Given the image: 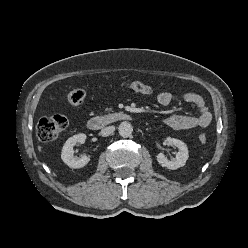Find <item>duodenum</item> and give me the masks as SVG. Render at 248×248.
<instances>
[{"label": "duodenum", "mask_w": 248, "mask_h": 248, "mask_svg": "<svg viewBox=\"0 0 248 248\" xmlns=\"http://www.w3.org/2000/svg\"><path fill=\"white\" fill-rule=\"evenodd\" d=\"M130 120V115L123 111H116L105 115L95 116L88 120L87 126L91 130H98L105 126Z\"/></svg>", "instance_id": "1"}]
</instances>
